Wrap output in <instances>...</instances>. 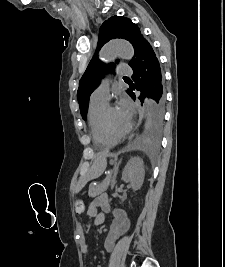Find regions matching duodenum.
Masks as SVG:
<instances>
[{
	"mask_svg": "<svg viewBox=\"0 0 225 267\" xmlns=\"http://www.w3.org/2000/svg\"><path fill=\"white\" fill-rule=\"evenodd\" d=\"M96 221H97L98 223L102 222V217H99Z\"/></svg>",
	"mask_w": 225,
	"mask_h": 267,
	"instance_id": "duodenum-1",
	"label": "duodenum"
}]
</instances>
